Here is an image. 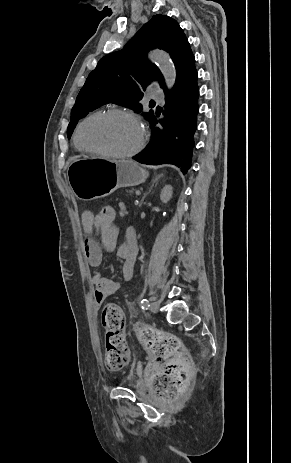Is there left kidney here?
Wrapping results in <instances>:
<instances>
[{
    "label": "left kidney",
    "instance_id": "5707ae66",
    "mask_svg": "<svg viewBox=\"0 0 291 463\" xmlns=\"http://www.w3.org/2000/svg\"><path fill=\"white\" fill-rule=\"evenodd\" d=\"M171 197H172V187L170 185H166L160 194V199L163 203H168Z\"/></svg>",
    "mask_w": 291,
    "mask_h": 463
}]
</instances>
